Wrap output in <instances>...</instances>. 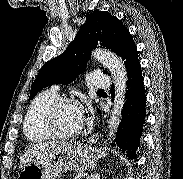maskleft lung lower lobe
<instances>
[{
  "mask_svg": "<svg viewBox=\"0 0 183 179\" xmlns=\"http://www.w3.org/2000/svg\"><path fill=\"white\" fill-rule=\"evenodd\" d=\"M116 54L124 60L128 90L125 94L122 120L116 133L115 143L112 145H117L128 154V157L134 159L145 122L146 97L137 49L129 31L122 37Z\"/></svg>",
  "mask_w": 183,
  "mask_h": 179,
  "instance_id": "1",
  "label": "left lung lower lobe"
}]
</instances>
